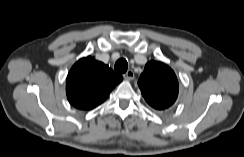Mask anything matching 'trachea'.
I'll return each instance as SVG.
<instances>
[{
    "label": "trachea",
    "mask_w": 244,
    "mask_h": 157,
    "mask_svg": "<svg viewBox=\"0 0 244 157\" xmlns=\"http://www.w3.org/2000/svg\"><path fill=\"white\" fill-rule=\"evenodd\" d=\"M128 69V63L126 59L120 58L116 63H115V71L118 73H125Z\"/></svg>",
    "instance_id": "obj_1"
}]
</instances>
